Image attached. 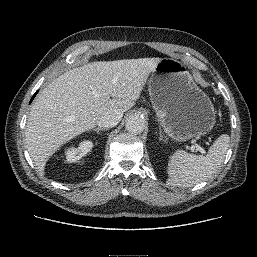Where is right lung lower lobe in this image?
Returning <instances> with one entry per match:
<instances>
[{
  "instance_id": "obj_1",
  "label": "right lung lower lobe",
  "mask_w": 257,
  "mask_h": 257,
  "mask_svg": "<svg viewBox=\"0 0 257 257\" xmlns=\"http://www.w3.org/2000/svg\"><path fill=\"white\" fill-rule=\"evenodd\" d=\"M37 92H38V91H37ZM37 92H36V93H37ZM36 93H35V94H34V96L32 97L31 101L34 99V97H35Z\"/></svg>"
}]
</instances>
